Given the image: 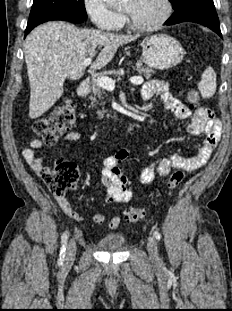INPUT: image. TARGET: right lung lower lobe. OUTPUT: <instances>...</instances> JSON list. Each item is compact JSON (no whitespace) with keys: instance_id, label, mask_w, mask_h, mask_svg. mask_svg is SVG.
I'll list each match as a JSON object with an SVG mask.
<instances>
[{"instance_id":"1","label":"right lung lower lobe","mask_w":232,"mask_h":311,"mask_svg":"<svg viewBox=\"0 0 232 311\" xmlns=\"http://www.w3.org/2000/svg\"><path fill=\"white\" fill-rule=\"evenodd\" d=\"M52 20H65V21H70V22H75V23H81L85 21L86 19L78 17L72 13L63 12V11L44 12V13L29 17L28 24L26 27V35L37 25L47 22V21H52Z\"/></svg>"}]
</instances>
